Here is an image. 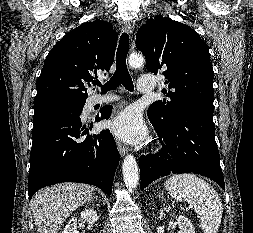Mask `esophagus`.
<instances>
[{
	"label": "esophagus",
	"instance_id": "esophagus-1",
	"mask_svg": "<svg viewBox=\"0 0 253 233\" xmlns=\"http://www.w3.org/2000/svg\"><path fill=\"white\" fill-rule=\"evenodd\" d=\"M122 31L127 32L128 34L133 33L134 31V23L133 22H126L122 27ZM117 148L120 155L123 157L128 152V148L124 146L121 142H117Z\"/></svg>",
	"mask_w": 253,
	"mask_h": 233
}]
</instances>
